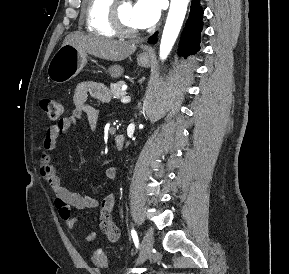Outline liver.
Returning a JSON list of instances; mask_svg holds the SVG:
<instances>
[{
	"mask_svg": "<svg viewBox=\"0 0 289 274\" xmlns=\"http://www.w3.org/2000/svg\"><path fill=\"white\" fill-rule=\"evenodd\" d=\"M65 44L73 45L82 52L110 61H121L136 51L134 44L79 33L67 35L63 42V45ZM110 72L112 76L118 77L123 73V68L113 66Z\"/></svg>",
	"mask_w": 289,
	"mask_h": 274,
	"instance_id": "liver-1",
	"label": "liver"
}]
</instances>
